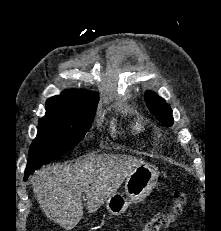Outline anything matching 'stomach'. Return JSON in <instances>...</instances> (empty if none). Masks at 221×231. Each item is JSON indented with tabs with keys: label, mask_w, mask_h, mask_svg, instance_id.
<instances>
[{
	"label": "stomach",
	"mask_w": 221,
	"mask_h": 231,
	"mask_svg": "<svg viewBox=\"0 0 221 231\" xmlns=\"http://www.w3.org/2000/svg\"><path fill=\"white\" fill-rule=\"evenodd\" d=\"M158 168L151 164L136 167L126 178L125 194L115 193L107 199L106 209L114 216L124 213L130 204L145 199L157 184Z\"/></svg>",
	"instance_id": "stomach-1"
}]
</instances>
